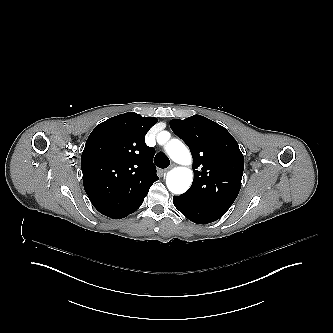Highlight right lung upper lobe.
I'll list each match as a JSON object with an SVG mask.
<instances>
[{"mask_svg": "<svg viewBox=\"0 0 333 333\" xmlns=\"http://www.w3.org/2000/svg\"><path fill=\"white\" fill-rule=\"evenodd\" d=\"M157 121L129 112L100 123L86 141L81 168L104 160L115 176H156L155 150L145 144V135Z\"/></svg>", "mask_w": 333, "mask_h": 333, "instance_id": "right-lung-upper-lobe-1", "label": "right lung upper lobe"}]
</instances>
